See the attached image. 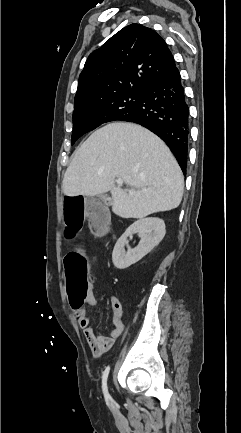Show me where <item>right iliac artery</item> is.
Listing matches in <instances>:
<instances>
[{
    "mask_svg": "<svg viewBox=\"0 0 241 433\" xmlns=\"http://www.w3.org/2000/svg\"><path fill=\"white\" fill-rule=\"evenodd\" d=\"M109 370L110 367L107 366L102 376V390L106 401H109L111 399L107 388V378H108Z\"/></svg>",
    "mask_w": 241,
    "mask_h": 433,
    "instance_id": "obj_1",
    "label": "right iliac artery"
}]
</instances>
